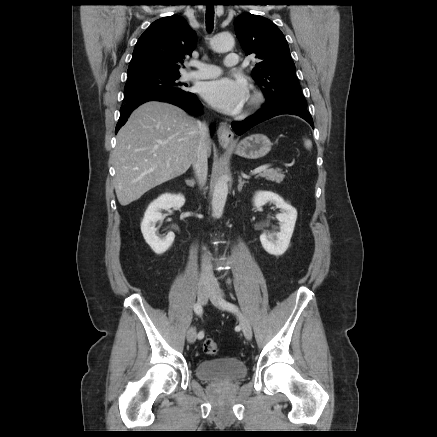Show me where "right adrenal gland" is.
Instances as JSON below:
<instances>
[{
	"instance_id": "1",
	"label": "right adrenal gland",
	"mask_w": 437,
	"mask_h": 437,
	"mask_svg": "<svg viewBox=\"0 0 437 437\" xmlns=\"http://www.w3.org/2000/svg\"><path fill=\"white\" fill-rule=\"evenodd\" d=\"M185 182L190 187H194V185L196 183L194 179H186Z\"/></svg>"
}]
</instances>
